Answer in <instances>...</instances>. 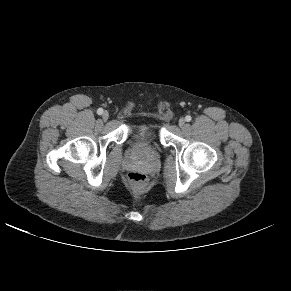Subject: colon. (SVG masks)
Masks as SVG:
<instances>
[{
    "instance_id": "1",
    "label": "colon",
    "mask_w": 291,
    "mask_h": 291,
    "mask_svg": "<svg viewBox=\"0 0 291 291\" xmlns=\"http://www.w3.org/2000/svg\"><path fill=\"white\" fill-rule=\"evenodd\" d=\"M128 179L132 184H134L135 186H138V187L144 186L148 181V177L141 172L129 173Z\"/></svg>"
}]
</instances>
